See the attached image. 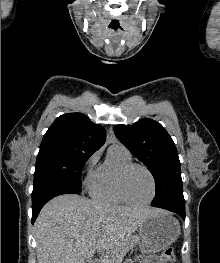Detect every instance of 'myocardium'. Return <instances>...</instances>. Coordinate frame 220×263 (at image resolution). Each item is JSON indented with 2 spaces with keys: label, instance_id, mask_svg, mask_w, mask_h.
Masks as SVG:
<instances>
[{
  "label": "myocardium",
  "instance_id": "1",
  "mask_svg": "<svg viewBox=\"0 0 220 263\" xmlns=\"http://www.w3.org/2000/svg\"><path fill=\"white\" fill-rule=\"evenodd\" d=\"M135 168L143 169L149 175V177L151 179L152 194L146 201H142V202L134 201L129 197V195L126 191V178H127L128 174ZM118 191H119L121 197L128 204L135 205V206L147 205V204L151 203L156 196L157 183H156L155 176L147 166H145L143 164H139V163H134V162L129 163V164L125 165L119 172V175H118Z\"/></svg>",
  "mask_w": 220,
  "mask_h": 263
}]
</instances>
